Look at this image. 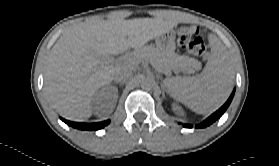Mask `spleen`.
<instances>
[{
  "instance_id": "3e777b00",
  "label": "spleen",
  "mask_w": 279,
  "mask_h": 166,
  "mask_svg": "<svg viewBox=\"0 0 279 166\" xmlns=\"http://www.w3.org/2000/svg\"><path fill=\"white\" fill-rule=\"evenodd\" d=\"M210 45L212 55L201 74L164 80L172 97L200 114L221 106L233 83V70L225 47L216 37L210 38Z\"/></svg>"
}]
</instances>
